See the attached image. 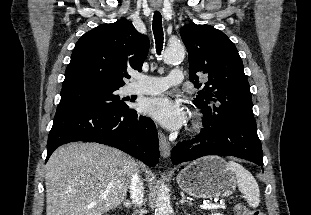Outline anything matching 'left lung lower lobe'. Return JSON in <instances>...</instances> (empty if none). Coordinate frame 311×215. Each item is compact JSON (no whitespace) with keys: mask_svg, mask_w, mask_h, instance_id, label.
<instances>
[{"mask_svg":"<svg viewBox=\"0 0 311 215\" xmlns=\"http://www.w3.org/2000/svg\"><path fill=\"white\" fill-rule=\"evenodd\" d=\"M204 128L196 138L177 143L172 150L174 165L206 155L235 156L263 166V152L251 116H233L217 123L203 120Z\"/></svg>","mask_w":311,"mask_h":215,"instance_id":"1","label":"left lung lower lobe"}]
</instances>
